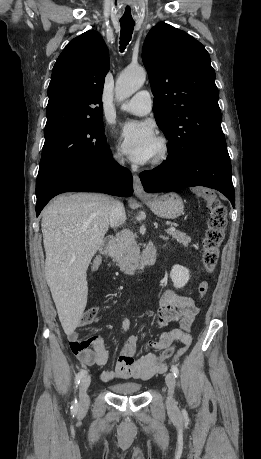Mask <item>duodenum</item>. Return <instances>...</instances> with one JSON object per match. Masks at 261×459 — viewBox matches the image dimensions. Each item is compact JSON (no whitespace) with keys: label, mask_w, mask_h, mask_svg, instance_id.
<instances>
[{"label":"duodenum","mask_w":261,"mask_h":459,"mask_svg":"<svg viewBox=\"0 0 261 459\" xmlns=\"http://www.w3.org/2000/svg\"><path fill=\"white\" fill-rule=\"evenodd\" d=\"M114 248V238L112 236H108L104 239L100 246V253L110 260L113 264H117V260L113 254ZM157 258V247L150 243L146 246L145 250L143 251L141 259L132 265L125 267V271L129 274H135L138 272H142L145 269L151 267Z\"/></svg>","instance_id":"410a0bca"}]
</instances>
